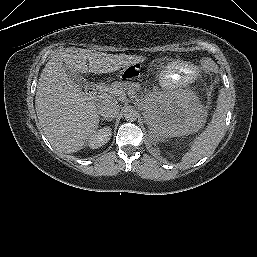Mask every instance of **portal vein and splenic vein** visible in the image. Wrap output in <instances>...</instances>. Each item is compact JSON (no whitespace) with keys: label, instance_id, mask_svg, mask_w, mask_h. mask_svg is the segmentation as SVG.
Instances as JSON below:
<instances>
[{"label":"portal vein and splenic vein","instance_id":"1","mask_svg":"<svg viewBox=\"0 0 257 257\" xmlns=\"http://www.w3.org/2000/svg\"><path fill=\"white\" fill-rule=\"evenodd\" d=\"M128 94H129L130 96L135 95V93H134L132 90H129V91H128ZM103 99H104V101H109V96H105V97H103Z\"/></svg>","mask_w":257,"mask_h":257}]
</instances>
